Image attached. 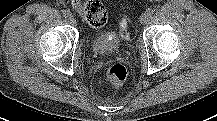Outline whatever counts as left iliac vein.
I'll list each match as a JSON object with an SVG mask.
<instances>
[{
    "instance_id": "obj_1",
    "label": "left iliac vein",
    "mask_w": 217,
    "mask_h": 121,
    "mask_svg": "<svg viewBox=\"0 0 217 121\" xmlns=\"http://www.w3.org/2000/svg\"><path fill=\"white\" fill-rule=\"evenodd\" d=\"M148 20H149L148 13L147 12L142 13L141 16H140V19H139L140 23L144 25V24H146L148 22Z\"/></svg>"
}]
</instances>
